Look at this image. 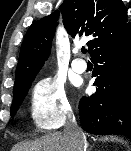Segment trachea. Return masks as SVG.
Here are the masks:
<instances>
[{
	"mask_svg": "<svg viewBox=\"0 0 131 151\" xmlns=\"http://www.w3.org/2000/svg\"><path fill=\"white\" fill-rule=\"evenodd\" d=\"M81 51H82V53H86L87 52V50L84 49V48Z\"/></svg>",
	"mask_w": 131,
	"mask_h": 151,
	"instance_id": "1",
	"label": "trachea"
}]
</instances>
